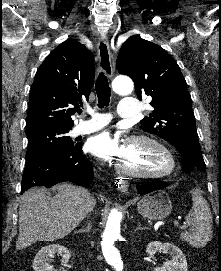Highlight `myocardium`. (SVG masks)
<instances>
[{"mask_svg":"<svg viewBox=\"0 0 221 271\" xmlns=\"http://www.w3.org/2000/svg\"><path fill=\"white\" fill-rule=\"evenodd\" d=\"M164 140L151 133H130L128 137V145L136 147V150H145L144 160L149 164H159L152 170L151 167H146L145 170H137L136 167H126L127 161H120V158H112L113 171H120L130 179L133 175L135 178H162L173 174L176 170H172L173 163L169 155L172 150H163ZM129 150V149H128ZM148 150V151H147ZM144 167V166H143Z\"/></svg>","mask_w":221,"mask_h":271,"instance_id":"f54148a6","label":"myocardium"}]
</instances>
